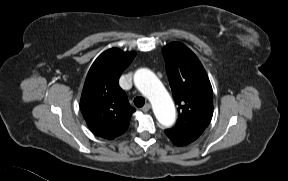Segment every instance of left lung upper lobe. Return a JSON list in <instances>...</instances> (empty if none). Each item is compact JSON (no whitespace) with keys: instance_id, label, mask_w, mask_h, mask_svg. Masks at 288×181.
Instances as JSON below:
<instances>
[{"instance_id":"obj_1","label":"left lung upper lobe","mask_w":288,"mask_h":181,"mask_svg":"<svg viewBox=\"0 0 288 181\" xmlns=\"http://www.w3.org/2000/svg\"><path fill=\"white\" fill-rule=\"evenodd\" d=\"M167 75L178 104L177 124L167 131L201 135L213 115V91L197 56L184 44L173 42L163 47Z\"/></svg>"}]
</instances>
